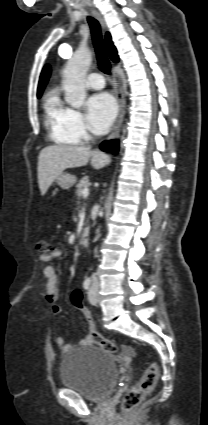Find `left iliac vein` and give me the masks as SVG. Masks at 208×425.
Wrapping results in <instances>:
<instances>
[{"mask_svg": "<svg viewBox=\"0 0 208 425\" xmlns=\"http://www.w3.org/2000/svg\"><path fill=\"white\" fill-rule=\"evenodd\" d=\"M98 289H99V283L98 282H94L91 286V288L89 289L88 292V298L91 304L95 305L98 303Z\"/></svg>", "mask_w": 208, "mask_h": 425, "instance_id": "obj_1", "label": "left iliac vein"}]
</instances>
